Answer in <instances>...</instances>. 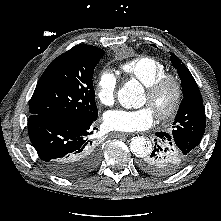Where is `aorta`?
<instances>
[{"mask_svg":"<svg viewBox=\"0 0 221 221\" xmlns=\"http://www.w3.org/2000/svg\"><path fill=\"white\" fill-rule=\"evenodd\" d=\"M142 93L143 87L140 83L131 80L125 83L118 91V100L125 108H137L141 106ZM129 147L131 152L138 157H141L152 150L151 142L143 136L133 137L130 141Z\"/></svg>","mask_w":221,"mask_h":221,"instance_id":"1","label":"aorta"}]
</instances>
